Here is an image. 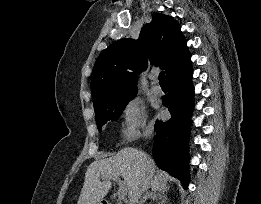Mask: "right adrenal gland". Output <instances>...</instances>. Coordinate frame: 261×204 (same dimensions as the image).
Returning <instances> with one entry per match:
<instances>
[{
  "label": "right adrenal gland",
  "mask_w": 261,
  "mask_h": 204,
  "mask_svg": "<svg viewBox=\"0 0 261 204\" xmlns=\"http://www.w3.org/2000/svg\"><path fill=\"white\" fill-rule=\"evenodd\" d=\"M147 199L159 201L158 204H163L166 201V197L161 193H156V191H146L139 204H144L147 201Z\"/></svg>",
  "instance_id": "1"
}]
</instances>
